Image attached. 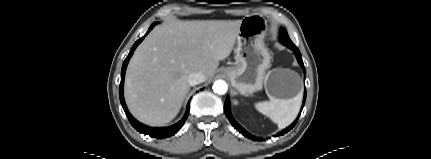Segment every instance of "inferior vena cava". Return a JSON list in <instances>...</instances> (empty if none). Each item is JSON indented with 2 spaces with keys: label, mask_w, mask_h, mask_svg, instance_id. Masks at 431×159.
<instances>
[{
  "label": "inferior vena cava",
  "mask_w": 431,
  "mask_h": 159,
  "mask_svg": "<svg viewBox=\"0 0 431 159\" xmlns=\"http://www.w3.org/2000/svg\"><path fill=\"white\" fill-rule=\"evenodd\" d=\"M205 81V76L201 72H193L188 77V83L191 86H195Z\"/></svg>",
  "instance_id": "1"
}]
</instances>
